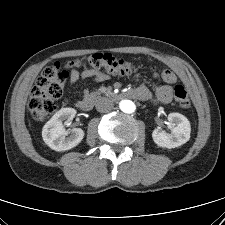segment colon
<instances>
[{"label": "colon", "mask_w": 225, "mask_h": 225, "mask_svg": "<svg viewBox=\"0 0 225 225\" xmlns=\"http://www.w3.org/2000/svg\"><path fill=\"white\" fill-rule=\"evenodd\" d=\"M70 66L76 68L89 66L108 74L119 76H129L139 70L137 65L117 58L110 53H94L83 59L72 61ZM68 75V71L62 69L59 63H55L44 69L32 89L28 103L31 115L35 120L42 121L55 111V100L61 97ZM154 76L170 84L176 81L175 74L169 69L154 72ZM173 94L178 106L182 108L190 106L189 96L182 85H175Z\"/></svg>", "instance_id": "obj_1"}]
</instances>
